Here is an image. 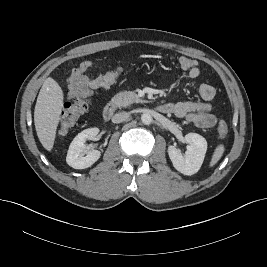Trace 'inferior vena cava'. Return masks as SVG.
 <instances>
[{"label": "inferior vena cava", "mask_w": 267, "mask_h": 267, "mask_svg": "<svg viewBox=\"0 0 267 267\" xmlns=\"http://www.w3.org/2000/svg\"><path fill=\"white\" fill-rule=\"evenodd\" d=\"M128 117H129V113H127V112H119V113H116L112 117V122L113 123H121V122L125 121Z\"/></svg>", "instance_id": "1"}]
</instances>
